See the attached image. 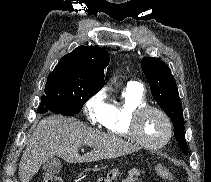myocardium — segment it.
I'll return each instance as SVG.
<instances>
[{
  "label": "myocardium",
  "instance_id": "obj_1",
  "mask_svg": "<svg viewBox=\"0 0 211 182\" xmlns=\"http://www.w3.org/2000/svg\"><path fill=\"white\" fill-rule=\"evenodd\" d=\"M149 111H154V112H157L159 115H161V117L164 119V121L167 125L166 137L158 144L147 143L141 138V135H140V131H139L140 119L145 113H147ZM130 133H131L133 139L140 146H142L144 148H148V149L157 150V149H161L164 146H166L169 143V141L171 140V138L173 136V125H172V121H171L170 117L163 109H161L158 106H154V105H150V104H143V105L137 106L132 111V114L130 117Z\"/></svg>",
  "mask_w": 211,
  "mask_h": 182
}]
</instances>
